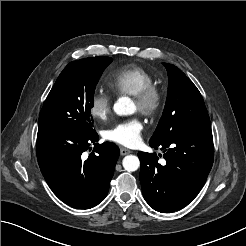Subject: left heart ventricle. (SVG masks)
<instances>
[{
  "mask_svg": "<svg viewBox=\"0 0 246 246\" xmlns=\"http://www.w3.org/2000/svg\"><path fill=\"white\" fill-rule=\"evenodd\" d=\"M132 109H133V111L138 110V107H137V104L135 101H133Z\"/></svg>",
  "mask_w": 246,
  "mask_h": 246,
  "instance_id": "left-heart-ventricle-1",
  "label": "left heart ventricle"
}]
</instances>
